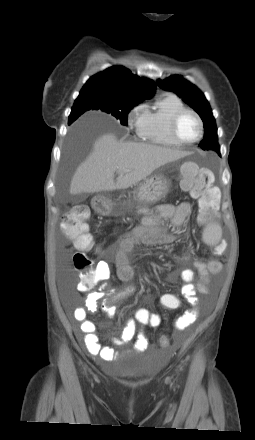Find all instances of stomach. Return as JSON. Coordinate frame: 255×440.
I'll return each instance as SVG.
<instances>
[{
    "mask_svg": "<svg viewBox=\"0 0 255 440\" xmlns=\"http://www.w3.org/2000/svg\"><path fill=\"white\" fill-rule=\"evenodd\" d=\"M169 183L162 174L152 175L141 182L135 193L134 203L114 202L102 198L98 210L102 213L125 215L133 211L135 205L155 203L163 199L168 193Z\"/></svg>",
    "mask_w": 255,
    "mask_h": 440,
    "instance_id": "1",
    "label": "stomach"
}]
</instances>
